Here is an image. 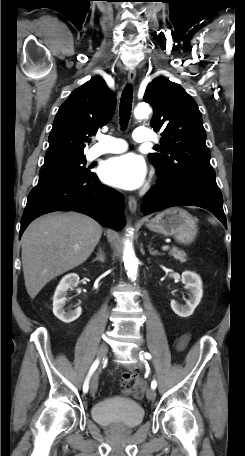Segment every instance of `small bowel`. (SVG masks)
Instances as JSON below:
<instances>
[{
    "label": "small bowel",
    "instance_id": "obj_1",
    "mask_svg": "<svg viewBox=\"0 0 245 456\" xmlns=\"http://www.w3.org/2000/svg\"><path fill=\"white\" fill-rule=\"evenodd\" d=\"M187 341H188V336L187 335L182 336L177 344V348L179 350L183 349L185 347ZM136 394L140 395V392L138 391Z\"/></svg>",
    "mask_w": 245,
    "mask_h": 456
}]
</instances>
